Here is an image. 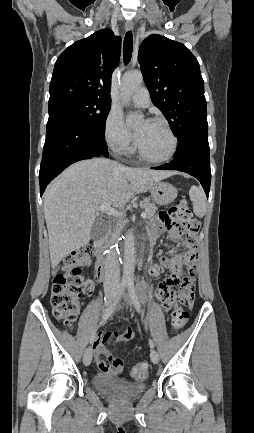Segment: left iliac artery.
<instances>
[{
  "instance_id": "obj_1",
  "label": "left iliac artery",
  "mask_w": 254,
  "mask_h": 433,
  "mask_svg": "<svg viewBox=\"0 0 254 433\" xmlns=\"http://www.w3.org/2000/svg\"><path fill=\"white\" fill-rule=\"evenodd\" d=\"M127 286H128L129 295L133 301V304H134L137 312L141 313V305H140V301H139L138 296H137L136 291H135L134 281L133 280L129 281L127 283ZM149 345L151 348H154V343H153L152 339H149Z\"/></svg>"
}]
</instances>
